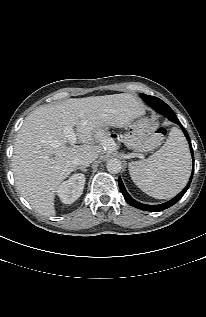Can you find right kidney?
Wrapping results in <instances>:
<instances>
[{
    "label": "right kidney",
    "mask_w": 206,
    "mask_h": 317,
    "mask_svg": "<svg viewBox=\"0 0 206 317\" xmlns=\"http://www.w3.org/2000/svg\"><path fill=\"white\" fill-rule=\"evenodd\" d=\"M85 185V175L73 174L57 188V195L64 204H71L82 194Z\"/></svg>",
    "instance_id": "ca27d5eb"
}]
</instances>
